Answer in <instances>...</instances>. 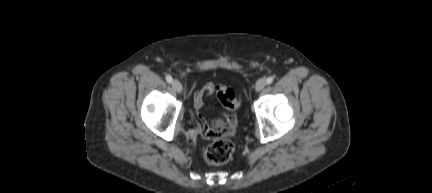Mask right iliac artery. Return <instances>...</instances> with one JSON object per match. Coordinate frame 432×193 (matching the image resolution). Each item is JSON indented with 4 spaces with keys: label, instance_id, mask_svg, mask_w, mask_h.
<instances>
[{
    "label": "right iliac artery",
    "instance_id": "82829eb1",
    "mask_svg": "<svg viewBox=\"0 0 432 193\" xmlns=\"http://www.w3.org/2000/svg\"><path fill=\"white\" fill-rule=\"evenodd\" d=\"M166 81H167L168 83H172L173 79H172V77H171L170 75H167V76H166Z\"/></svg>",
    "mask_w": 432,
    "mask_h": 193
}]
</instances>
